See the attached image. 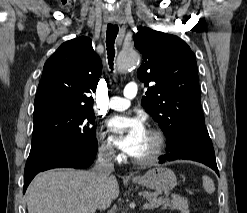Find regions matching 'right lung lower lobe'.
Masks as SVG:
<instances>
[{"instance_id":"1","label":"right lung lower lobe","mask_w":247,"mask_h":213,"mask_svg":"<svg viewBox=\"0 0 247 213\" xmlns=\"http://www.w3.org/2000/svg\"><path fill=\"white\" fill-rule=\"evenodd\" d=\"M98 146L84 149L68 137L43 145L30 152L24 172V189L31 180L41 171L52 168H86L89 167L96 156Z\"/></svg>"}]
</instances>
